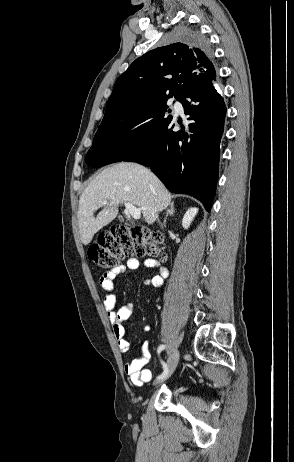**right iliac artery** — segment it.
Returning <instances> with one entry per match:
<instances>
[{
  "label": "right iliac artery",
  "mask_w": 294,
  "mask_h": 462,
  "mask_svg": "<svg viewBox=\"0 0 294 462\" xmlns=\"http://www.w3.org/2000/svg\"><path fill=\"white\" fill-rule=\"evenodd\" d=\"M165 347H166L165 345H160L159 348H158V354H160V352L163 351V350L165 349ZM161 363H162V365H163L164 371H163V373H162L161 375H159V376L157 377V379H163V378H165L166 375H167V372H168L167 364H166L165 362H163V361H161Z\"/></svg>",
  "instance_id": "1"
}]
</instances>
